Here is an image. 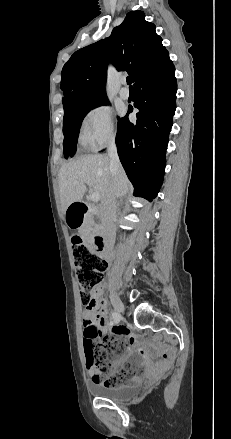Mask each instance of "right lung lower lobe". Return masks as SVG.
Returning <instances> with one entry per match:
<instances>
[{"label": "right lung lower lobe", "instance_id": "obj_1", "mask_svg": "<svg viewBox=\"0 0 231 439\" xmlns=\"http://www.w3.org/2000/svg\"><path fill=\"white\" fill-rule=\"evenodd\" d=\"M134 88L137 122L118 120V155L135 195L152 201L157 196L166 165L165 153L176 109L175 67L169 56L154 70L140 77Z\"/></svg>", "mask_w": 231, "mask_h": 439}]
</instances>
